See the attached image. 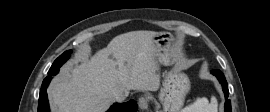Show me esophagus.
I'll return each mask as SVG.
<instances>
[{"label":"esophagus","mask_w":270,"mask_h":112,"mask_svg":"<svg viewBox=\"0 0 270 112\" xmlns=\"http://www.w3.org/2000/svg\"><path fill=\"white\" fill-rule=\"evenodd\" d=\"M138 105L142 110H146L149 107V97L143 96L138 100Z\"/></svg>","instance_id":"1"}]
</instances>
